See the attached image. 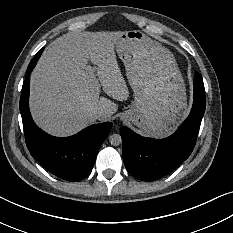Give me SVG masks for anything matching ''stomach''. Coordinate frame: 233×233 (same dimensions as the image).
<instances>
[{
  "label": "stomach",
  "mask_w": 233,
  "mask_h": 233,
  "mask_svg": "<svg viewBox=\"0 0 233 233\" xmlns=\"http://www.w3.org/2000/svg\"><path fill=\"white\" fill-rule=\"evenodd\" d=\"M113 45L133 90L122 119L144 136H170L188 113L186 84L173 53L140 30L122 31Z\"/></svg>",
  "instance_id": "0dacf381"
}]
</instances>
